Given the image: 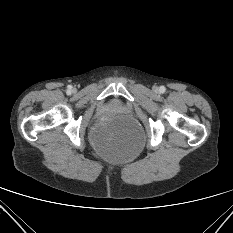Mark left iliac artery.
<instances>
[{
  "mask_svg": "<svg viewBox=\"0 0 233 233\" xmlns=\"http://www.w3.org/2000/svg\"><path fill=\"white\" fill-rule=\"evenodd\" d=\"M165 90H166V88H165L164 86H161V87H160V92L163 93V92H165Z\"/></svg>",
  "mask_w": 233,
  "mask_h": 233,
  "instance_id": "left-iliac-artery-1",
  "label": "left iliac artery"
}]
</instances>
